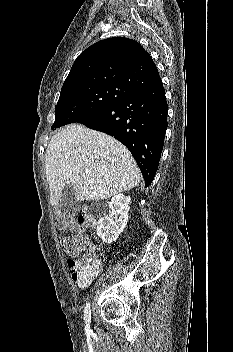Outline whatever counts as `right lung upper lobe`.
I'll return each mask as SVG.
<instances>
[{
    "mask_svg": "<svg viewBox=\"0 0 233 352\" xmlns=\"http://www.w3.org/2000/svg\"><path fill=\"white\" fill-rule=\"evenodd\" d=\"M159 80L155 63L138 42L114 37L91 45L76 58L60 95L111 84L137 91Z\"/></svg>",
    "mask_w": 233,
    "mask_h": 352,
    "instance_id": "cb5924a9",
    "label": "right lung upper lobe"
}]
</instances>
